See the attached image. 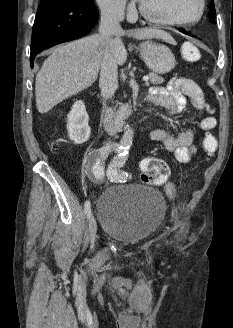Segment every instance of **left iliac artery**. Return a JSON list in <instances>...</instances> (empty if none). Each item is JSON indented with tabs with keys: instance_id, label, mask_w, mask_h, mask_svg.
<instances>
[{
	"instance_id": "44dca946",
	"label": "left iliac artery",
	"mask_w": 233,
	"mask_h": 328,
	"mask_svg": "<svg viewBox=\"0 0 233 328\" xmlns=\"http://www.w3.org/2000/svg\"><path fill=\"white\" fill-rule=\"evenodd\" d=\"M128 149V147H127ZM127 149L122 153H119L110 163L107 169V177L111 182H126L128 179V173L121 170L127 159Z\"/></svg>"
}]
</instances>
